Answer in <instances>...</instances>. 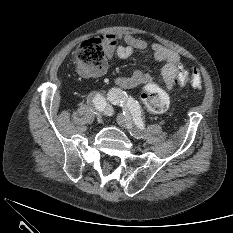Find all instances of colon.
I'll use <instances>...</instances> for the list:
<instances>
[{
  "mask_svg": "<svg viewBox=\"0 0 233 233\" xmlns=\"http://www.w3.org/2000/svg\"><path fill=\"white\" fill-rule=\"evenodd\" d=\"M75 61L82 74L99 73L105 64V40L92 38L82 42L75 52ZM201 82V75L197 69L188 71L181 68L178 71L176 84L180 87L191 84L194 88H199ZM142 103L148 112L162 113L168 109L170 99L161 87L149 84L142 94Z\"/></svg>",
  "mask_w": 233,
  "mask_h": 233,
  "instance_id": "obj_1",
  "label": "colon"
}]
</instances>
